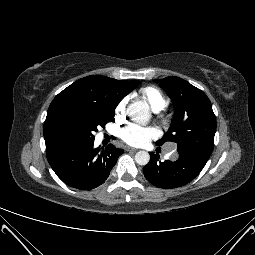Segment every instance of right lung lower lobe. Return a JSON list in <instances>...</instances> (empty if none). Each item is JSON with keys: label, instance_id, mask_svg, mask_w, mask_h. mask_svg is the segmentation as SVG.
Segmentation results:
<instances>
[{"label": "right lung lower lobe", "instance_id": "98d812e1", "mask_svg": "<svg viewBox=\"0 0 255 255\" xmlns=\"http://www.w3.org/2000/svg\"><path fill=\"white\" fill-rule=\"evenodd\" d=\"M94 140H73L46 149L47 159L57 176L67 185L91 190L103 184L123 149L109 144L93 147Z\"/></svg>", "mask_w": 255, "mask_h": 255}]
</instances>
